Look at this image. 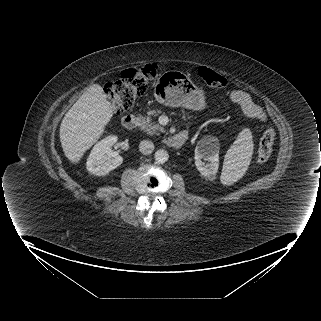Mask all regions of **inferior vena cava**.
I'll list each match as a JSON object with an SVG mask.
<instances>
[{"label":"inferior vena cava","mask_w":321,"mask_h":321,"mask_svg":"<svg viewBox=\"0 0 321 321\" xmlns=\"http://www.w3.org/2000/svg\"><path fill=\"white\" fill-rule=\"evenodd\" d=\"M139 150L143 154H151L154 150V144L149 140H143L139 144Z\"/></svg>","instance_id":"inferior-vena-cava-1"}]
</instances>
